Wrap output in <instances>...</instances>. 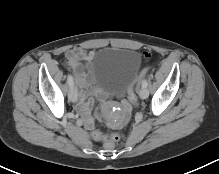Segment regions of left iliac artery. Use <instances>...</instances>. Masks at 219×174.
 <instances>
[{
	"label": "left iliac artery",
	"instance_id": "1",
	"mask_svg": "<svg viewBox=\"0 0 219 174\" xmlns=\"http://www.w3.org/2000/svg\"><path fill=\"white\" fill-rule=\"evenodd\" d=\"M147 85H148V81H147V79H144V80L142 81V87L146 88Z\"/></svg>",
	"mask_w": 219,
	"mask_h": 174
}]
</instances>
